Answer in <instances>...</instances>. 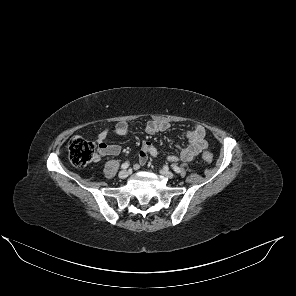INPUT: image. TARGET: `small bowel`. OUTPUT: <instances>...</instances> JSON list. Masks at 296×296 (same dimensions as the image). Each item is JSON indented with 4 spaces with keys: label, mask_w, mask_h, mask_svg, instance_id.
Here are the masks:
<instances>
[{
    "label": "small bowel",
    "mask_w": 296,
    "mask_h": 296,
    "mask_svg": "<svg viewBox=\"0 0 296 296\" xmlns=\"http://www.w3.org/2000/svg\"><path fill=\"white\" fill-rule=\"evenodd\" d=\"M169 123L162 120H149L146 124V132L148 134H155L158 132L166 131L169 128ZM130 132L129 124L125 121H121L116 126L106 128L99 133L97 137L99 154L101 156H115L121 152V147L116 144H107L106 140L111 134L127 135ZM186 137L189 141V145L179 148L178 155H169L167 159L172 162H188L192 161L201 151L207 149L208 142L206 140V131L203 126L196 125L186 133ZM158 151L154 144L150 141H144L141 146L138 160L134 164L135 169L146 165L149 156L157 157Z\"/></svg>",
    "instance_id": "c3829d8e"
}]
</instances>
